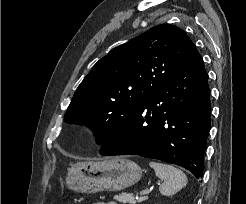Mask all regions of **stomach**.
I'll return each mask as SVG.
<instances>
[{
  "label": "stomach",
  "mask_w": 246,
  "mask_h": 204,
  "mask_svg": "<svg viewBox=\"0 0 246 204\" xmlns=\"http://www.w3.org/2000/svg\"><path fill=\"white\" fill-rule=\"evenodd\" d=\"M141 167L126 158L79 162L68 170L66 185L82 193L120 191L137 183Z\"/></svg>",
  "instance_id": "stomach-1"
}]
</instances>
